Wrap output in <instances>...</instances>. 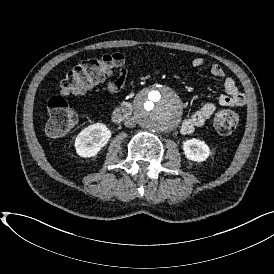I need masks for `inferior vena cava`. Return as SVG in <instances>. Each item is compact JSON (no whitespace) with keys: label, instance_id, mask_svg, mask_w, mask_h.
<instances>
[{"label":"inferior vena cava","instance_id":"1","mask_svg":"<svg viewBox=\"0 0 274 274\" xmlns=\"http://www.w3.org/2000/svg\"><path fill=\"white\" fill-rule=\"evenodd\" d=\"M124 124H125L126 127L131 128V127H135L136 121H135V119L133 117L132 118H127L125 120Z\"/></svg>","mask_w":274,"mask_h":274}]
</instances>
